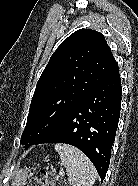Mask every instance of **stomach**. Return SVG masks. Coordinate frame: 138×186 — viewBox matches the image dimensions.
I'll list each match as a JSON object with an SVG mask.
<instances>
[{
	"instance_id": "0dacf381",
	"label": "stomach",
	"mask_w": 138,
	"mask_h": 186,
	"mask_svg": "<svg viewBox=\"0 0 138 186\" xmlns=\"http://www.w3.org/2000/svg\"><path fill=\"white\" fill-rule=\"evenodd\" d=\"M27 178H28L27 169H21L17 171L12 181V186H23Z\"/></svg>"
}]
</instances>
